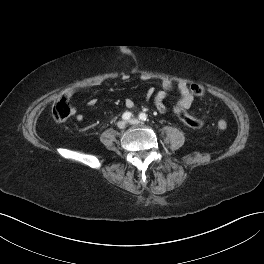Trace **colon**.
Masks as SVG:
<instances>
[{"label":"colon","mask_w":264,"mask_h":264,"mask_svg":"<svg viewBox=\"0 0 264 264\" xmlns=\"http://www.w3.org/2000/svg\"><path fill=\"white\" fill-rule=\"evenodd\" d=\"M190 92L195 96H203L205 91L204 88L196 83L189 86ZM175 114L177 117L184 122L187 126L193 129H200L203 127L204 123L202 120L195 118L188 114V112L183 108H175ZM53 117L58 122L66 121L71 116V107L66 96H60L54 103L52 109ZM217 126L220 130L227 129V122L224 120H219Z\"/></svg>","instance_id":"obj_1"}]
</instances>
